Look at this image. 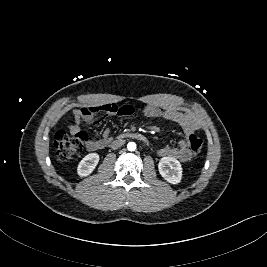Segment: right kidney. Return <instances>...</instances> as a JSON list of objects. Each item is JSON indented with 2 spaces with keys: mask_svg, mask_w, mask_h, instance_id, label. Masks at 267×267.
I'll return each mask as SVG.
<instances>
[{
  "mask_svg": "<svg viewBox=\"0 0 267 267\" xmlns=\"http://www.w3.org/2000/svg\"><path fill=\"white\" fill-rule=\"evenodd\" d=\"M99 155L97 153L87 154L79 163L77 173L80 177H86L93 172L99 162Z\"/></svg>",
  "mask_w": 267,
  "mask_h": 267,
  "instance_id": "obj_1",
  "label": "right kidney"
}]
</instances>
